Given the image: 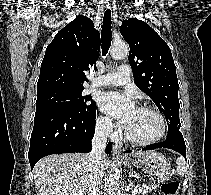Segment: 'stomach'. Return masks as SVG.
<instances>
[{
	"mask_svg": "<svg viewBox=\"0 0 211 195\" xmlns=\"http://www.w3.org/2000/svg\"><path fill=\"white\" fill-rule=\"evenodd\" d=\"M122 162L128 168H142L144 172L156 178L158 182L168 180L171 175L168 160L163 154L158 152H150L138 159V161L124 158Z\"/></svg>",
	"mask_w": 211,
	"mask_h": 195,
	"instance_id": "0dacf381",
	"label": "stomach"
}]
</instances>
